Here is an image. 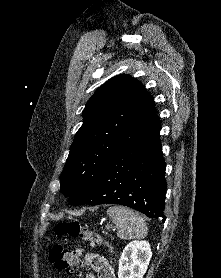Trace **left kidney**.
Here are the masks:
<instances>
[{
	"mask_svg": "<svg viewBox=\"0 0 221 278\" xmlns=\"http://www.w3.org/2000/svg\"><path fill=\"white\" fill-rule=\"evenodd\" d=\"M152 257L147 241H131L119 259L118 278H143Z\"/></svg>",
	"mask_w": 221,
	"mask_h": 278,
	"instance_id": "1",
	"label": "left kidney"
}]
</instances>
